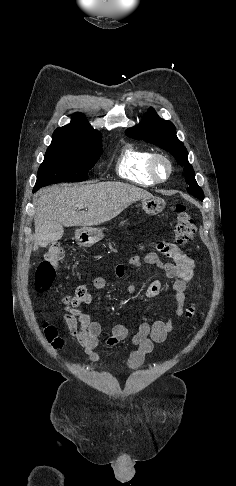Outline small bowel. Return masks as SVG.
Instances as JSON below:
<instances>
[{
	"mask_svg": "<svg viewBox=\"0 0 236 486\" xmlns=\"http://www.w3.org/2000/svg\"><path fill=\"white\" fill-rule=\"evenodd\" d=\"M158 251L170 258L172 262H162L156 252L148 253L144 262L147 265L156 266L161 269L168 278L174 280L173 301L169 303V316L165 320H157L153 323H142L135 334H130L128 328L122 324H116L111 328V336L107 339V344L115 345L119 341L130 340L137 348L131 352L128 358V366L131 369L140 367L146 355L152 352L154 344L162 343L172 331L173 316H185L191 318L195 315V306L185 307L186 289L194 276V261L183 252L177 245L172 243L160 242L157 245ZM129 264L137 271L142 269V260L139 256H132ZM125 266L120 264L115 268L117 278L125 276ZM107 285L103 277H95L91 280L90 286L94 289H104ZM131 295H143L146 298H156L161 293L160 280L153 278L149 280L141 289L134 285L128 287ZM64 320L71 336L83 348L85 353L94 362L100 360L96 348L99 344V336L102 328L99 322L93 320L87 313L73 309L69 306L64 307Z\"/></svg>",
	"mask_w": 236,
	"mask_h": 486,
	"instance_id": "obj_1",
	"label": "small bowel"
}]
</instances>
